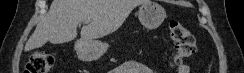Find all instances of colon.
I'll return each instance as SVG.
<instances>
[{
	"label": "colon",
	"instance_id": "1",
	"mask_svg": "<svg viewBox=\"0 0 244 73\" xmlns=\"http://www.w3.org/2000/svg\"><path fill=\"white\" fill-rule=\"evenodd\" d=\"M173 49L169 59L172 66H180L183 61L196 51L194 35L180 22L171 21L169 24ZM54 66V58L42 50H36L25 65L24 73H49Z\"/></svg>",
	"mask_w": 244,
	"mask_h": 73
}]
</instances>
